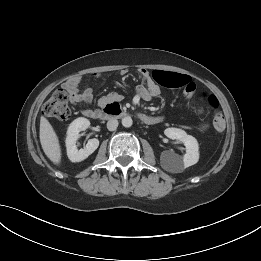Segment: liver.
Listing matches in <instances>:
<instances>
[{
	"label": "liver",
	"mask_w": 261,
	"mask_h": 261,
	"mask_svg": "<svg viewBox=\"0 0 261 261\" xmlns=\"http://www.w3.org/2000/svg\"><path fill=\"white\" fill-rule=\"evenodd\" d=\"M40 143L46 156L54 163L61 162V148L59 139L49 121L41 116L40 118Z\"/></svg>",
	"instance_id": "liver-1"
}]
</instances>
